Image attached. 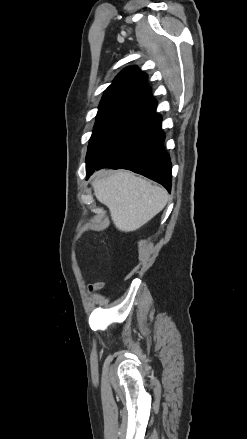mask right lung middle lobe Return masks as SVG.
<instances>
[{
	"instance_id": "dd1d6c3e",
	"label": "right lung middle lobe",
	"mask_w": 247,
	"mask_h": 439,
	"mask_svg": "<svg viewBox=\"0 0 247 439\" xmlns=\"http://www.w3.org/2000/svg\"><path fill=\"white\" fill-rule=\"evenodd\" d=\"M155 114L113 104L100 106L90 138L86 166L96 165L148 124Z\"/></svg>"
}]
</instances>
